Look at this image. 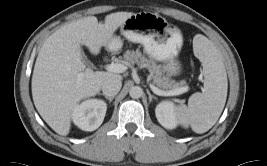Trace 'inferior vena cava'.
Here are the masks:
<instances>
[{
	"label": "inferior vena cava",
	"instance_id": "602c4592",
	"mask_svg": "<svg viewBox=\"0 0 267 166\" xmlns=\"http://www.w3.org/2000/svg\"><path fill=\"white\" fill-rule=\"evenodd\" d=\"M121 79L112 77L104 81L102 85V92L106 96H115L121 89Z\"/></svg>",
	"mask_w": 267,
	"mask_h": 166
}]
</instances>
